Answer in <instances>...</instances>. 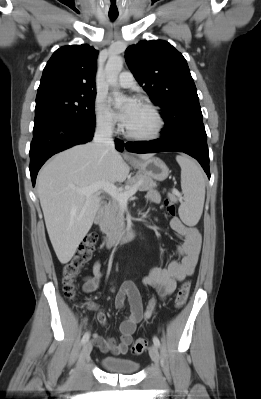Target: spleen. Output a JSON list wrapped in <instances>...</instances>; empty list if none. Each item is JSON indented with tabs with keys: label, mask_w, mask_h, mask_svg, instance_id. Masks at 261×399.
I'll return each mask as SVG.
<instances>
[{
	"label": "spleen",
	"mask_w": 261,
	"mask_h": 399,
	"mask_svg": "<svg viewBox=\"0 0 261 399\" xmlns=\"http://www.w3.org/2000/svg\"><path fill=\"white\" fill-rule=\"evenodd\" d=\"M181 167V188L184 202L179 207V216L188 226L198 223L205 200V176L199 165L184 155L176 156Z\"/></svg>",
	"instance_id": "1"
}]
</instances>
